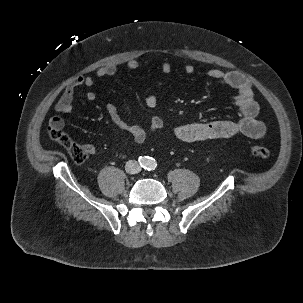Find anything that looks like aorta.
Segmentation results:
<instances>
[{
	"label": "aorta",
	"instance_id": "1",
	"mask_svg": "<svg viewBox=\"0 0 303 303\" xmlns=\"http://www.w3.org/2000/svg\"><path fill=\"white\" fill-rule=\"evenodd\" d=\"M144 165L149 169H153L154 167H156V162L153 159H146Z\"/></svg>",
	"mask_w": 303,
	"mask_h": 303
}]
</instances>
